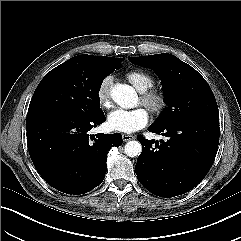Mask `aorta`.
<instances>
[{
	"mask_svg": "<svg viewBox=\"0 0 241 241\" xmlns=\"http://www.w3.org/2000/svg\"><path fill=\"white\" fill-rule=\"evenodd\" d=\"M113 101L122 108L129 109L134 106L137 94L135 90L127 84H116L111 89ZM125 154L129 157H137L141 154L142 146L138 141H129L125 145Z\"/></svg>",
	"mask_w": 241,
	"mask_h": 241,
	"instance_id": "1",
	"label": "aorta"
}]
</instances>
